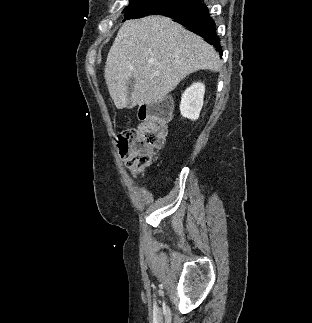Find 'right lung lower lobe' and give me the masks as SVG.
Returning <instances> with one entry per match:
<instances>
[{
	"label": "right lung lower lobe",
	"instance_id": "obj_1",
	"mask_svg": "<svg viewBox=\"0 0 312 323\" xmlns=\"http://www.w3.org/2000/svg\"><path fill=\"white\" fill-rule=\"evenodd\" d=\"M202 1L193 0V2L184 7L162 15L173 18L174 21L203 37L222 56L220 38L216 33L215 22L209 14L207 5Z\"/></svg>",
	"mask_w": 312,
	"mask_h": 323
}]
</instances>
